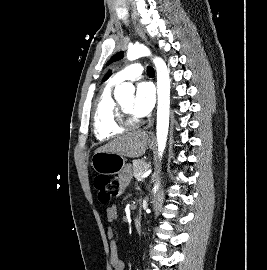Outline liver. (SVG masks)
Segmentation results:
<instances>
[{
  "mask_svg": "<svg viewBox=\"0 0 267 270\" xmlns=\"http://www.w3.org/2000/svg\"><path fill=\"white\" fill-rule=\"evenodd\" d=\"M147 142L146 132L140 130L128 132L99 147L95 153L104 151L137 158L145 153Z\"/></svg>",
  "mask_w": 267,
  "mask_h": 270,
  "instance_id": "6515ba94",
  "label": "liver"
}]
</instances>
